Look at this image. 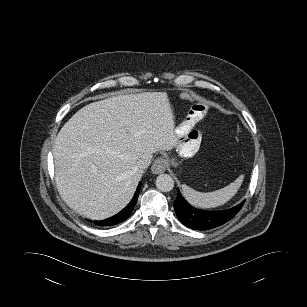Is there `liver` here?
<instances>
[{
    "label": "liver",
    "mask_w": 307,
    "mask_h": 307,
    "mask_svg": "<svg viewBox=\"0 0 307 307\" xmlns=\"http://www.w3.org/2000/svg\"><path fill=\"white\" fill-rule=\"evenodd\" d=\"M178 144L167 93L146 92L97 101L77 111L53 147L63 201L90 219H105L132 199L140 160Z\"/></svg>",
    "instance_id": "6515ba94"
}]
</instances>
